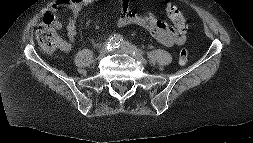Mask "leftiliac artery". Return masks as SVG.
I'll use <instances>...</instances> for the list:
<instances>
[{"label": "left iliac artery", "mask_w": 253, "mask_h": 143, "mask_svg": "<svg viewBox=\"0 0 253 143\" xmlns=\"http://www.w3.org/2000/svg\"><path fill=\"white\" fill-rule=\"evenodd\" d=\"M121 47H122V48L131 47V48L134 50V53L137 52L139 55H141V56L143 55V51H142V50H140V49L137 48L136 46L131 45L128 41H123V42L121 43Z\"/></svg>", "instance_id": "obj_1"}]
</instances>
